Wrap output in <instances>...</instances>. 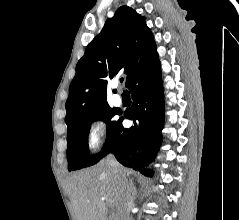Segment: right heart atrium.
Masks as SVG:
<instances>
[{
  "mask_svg": "<svg viewBox=\"0 0 239 220\" xmlns=\"http://www.w3.org/2000/svg\"><path fill=\"white\" fill-rule=\"evenodd\" d=\"M104 134H105L104 122L99 118L94 119L88 127L87 133L88 147L90 149L97 148L100 145Z\"/></svg>",
  "mask_w": 239,
  "mask_h": 220,
  "instance_id": "obj_1",
  "label": "right heart atrium"
}]
</instances>
